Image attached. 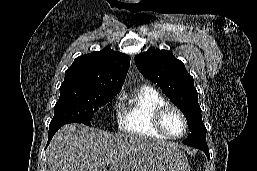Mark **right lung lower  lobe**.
Masks as SVG:
<instances>
[{
  "label": "right lung lower lobe",
  "instance_id": "98d812e1",
  "mask_svg": "<svg viewBox=\"0 0 257 171\" xmlns=\"http://www.w3.org/2000/svg\"><path fill=\"white\" fill-rule=\"evenodd\" d=\"M63 126V124H57V125H50L49 126V137H48V143H47V146L48 144L50 143L52 137L54 136V134L56 133V131L61 127ZM46 146V148H47Z\"/></svg>",
  "mask_w": 257,
  "mask_h": 171
}]
</instances>
